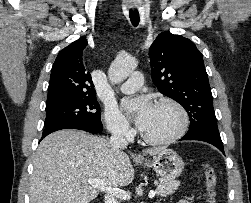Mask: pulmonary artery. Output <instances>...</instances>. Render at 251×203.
Instances as JSON below:
<instances>
[{"label":"pulmonary artery","instance_id":"obj_1","mask_svg":"<svg viewBox=\"0 0 251 203\" xmlns=\"http://www.w3.org/2000/svg\"><path fill=\"white\" fill-rule=\"evenodd\" d=\"M143 84V75L135 72L120 86V90L124 93H133L137 91Z\"/></svg>","mask_w":251,"mask_h":203}]
</instances>
